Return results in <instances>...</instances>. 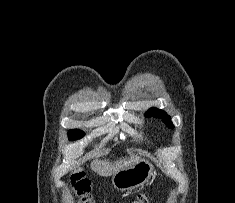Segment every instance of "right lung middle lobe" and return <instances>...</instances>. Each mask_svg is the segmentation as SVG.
Returning a JSON list of instances; mask_svg holds the SVG:
<instances>
[{
    "mask_svg": "<svg viewBox=\"0 0 235 203\" xmlns=\"http://www.w3.org/2000/svg\"><path fill=\"white\" fill-rule=\"evenodd\" d=\"M84 136V132L78 129H73L68 131V138L69 140L73 141L76 139H80Z\"/></svg>",
    "mask_w": 235,
    "mask_h": 203,
    "instance_id": "1",
    "label": "right lung middle lobe"
}]
</instances>
